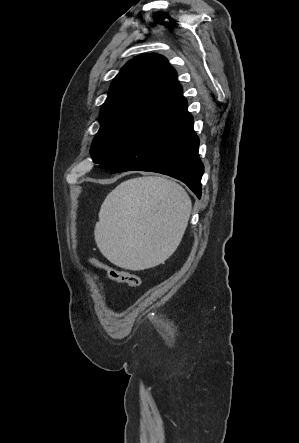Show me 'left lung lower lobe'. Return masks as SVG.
<instances>
[{"mask_svg":"<svg viewBox=\"0 0 299 443\" xmlns=\"http://www.w3.org/2000/svg\"><path fill=\"white\" fill-rule=\"evenodd\" d=\"M198 146L193 117L181 95L139 137L110 173L132 170L162 173L183 181L200 198L204 167L198 156Z\"/></svg>","mask_w":299,"mask_h":443,"instance_id":"obj_1","label":"left lung lower lobe"}]
</instances>
